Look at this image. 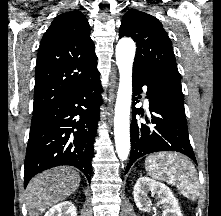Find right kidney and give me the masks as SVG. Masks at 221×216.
Masks as SVG:
<instances>
[{
    "label": "right kidney",
    "mask_w": 221,
    "mask_h": 216,
    "mask_svg": "<svg viewBox=\"0 0 221 216\" xmlns=\"http://www.w3.org/2000/svg\"><path fill=\"white\" fill-rule=\"evenodd\" d=\"M44 216H77V210L71 202L64 201L51 207Z\"/></svg>",
    "instance_id": "obj_1"
}]
</instances>
